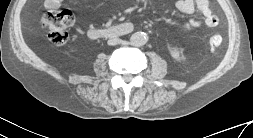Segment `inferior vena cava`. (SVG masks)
Wrapping results in <instances>:
<instances>
[{"label":"inferior vena cava","mask_w":253,"mask_h":138,"mask_svg":"<svg viewBox=\"0 0 253 138\" xmlns=\"http://www.w3.org/2000/svg\"><path fill=\"white\" fill-rule=\"evenodd\" d=\"M119 43H120V41L118 39H111V40H108V42H107V44L109 46H115V45H117Z\"/></svg>","instance_id":"1"}]
</instances>
